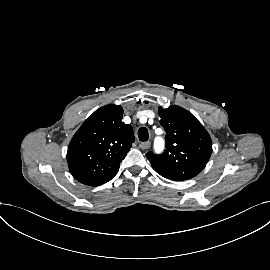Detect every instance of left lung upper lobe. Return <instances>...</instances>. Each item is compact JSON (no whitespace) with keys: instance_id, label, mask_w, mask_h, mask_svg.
I'll return each instance as SVG.
<instances>
[{"instance_id":"5c2ea615","label":"left lung upper lobe","mask_w":270,"mask_h":270,"mask_svg":"<svg viewBox=\"0 0 270 270\" xmlns=\"http://www.w3.org/2000/svg\"><path fill=\"white\" fill-rule=\"evenodd\" d=\"M158 114L166 131V149L159 155L147 153L152 167L174 181L195 177L205 168L212 153L208 132L190 112L179 106L159 107Z\"/></svg>"}]
</instances>
